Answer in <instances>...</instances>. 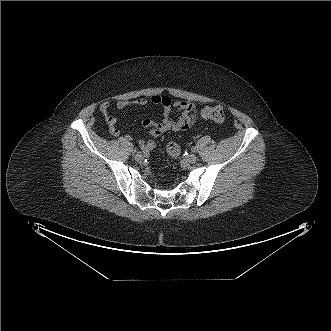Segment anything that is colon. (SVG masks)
Listing matches in <instances>:
<instances>
[{
  "label": "colon",
  "mask_w": 331,
  "mask_h": 331,
  "mask_svg": "<svg viewBox=\"0 0 331 331\" xmlns=\"http://www.w3.org/2000/svg\"><path fill=\"white\" fill-rule=\"evenodd\" d=\"M199 116L215 122H222L225 119L224 110L220 106H206L200 111ZM167 152L170 156L176 157L180 152V148L176 143L170 142L167 145Z\"/></svg>",
  "instance_id": "colon-1"
}]
</instances>
